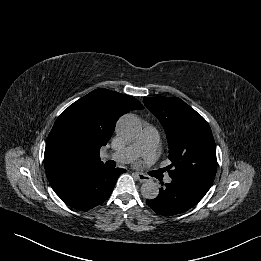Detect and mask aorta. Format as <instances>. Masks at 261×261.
I'll return each instance as SVG.
<instances>
[{
  "label": "aorta",
  "instance_id": "762f6f07",
  "mask_svg": "<svg viewBox=\"0 0 261 261\" xmlns=\"http://www.w3.org/2000/svg\"><path fill=\"white\" fill-rule=\"evenodd\" d=\"M141 131V123L134 115H124L117 125L118 134L125 140H134ZM141 194L144 198L152 200L159 194V186L152 180L145 181L141 186Z\"/></svg>",
  "mask_w": 261,
  "mask_h": 261
}]
</instances>
